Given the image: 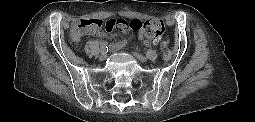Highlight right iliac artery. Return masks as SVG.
I'll return each instance as SVG.
<instances>
[{"label":"right iliac artery","mask_w":255,"mask_h":122,"mask_svg":"<svg viewBox=\"0 0 255 122\" xmlns=\"http://www.w3.org/2000/svg\"><path fill=\"white\" fill-rule=\"evenodd\" d=\"M101 50L107 52L108 46H107V43H106V42H102V43H101Z\"/></svg>","instance_id":"right-iliac-artery-1"}]
</instances>
